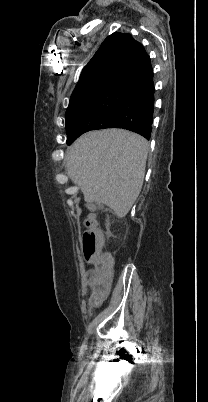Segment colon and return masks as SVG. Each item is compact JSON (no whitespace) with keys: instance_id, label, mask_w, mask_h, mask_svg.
I'll return each mask as SVG.
<instances>
[{"instance_id":"5ec220e1","label":"colon","mask_w":208,"mask_h":402,"mask_svg":"<svg viewBox=\"0 0 208 402\" xmlns=\"http://www.w3.org/2000/svg\"><path fill=\"white\" fill-rule=\"evenodd\" d=\"M91 220L85 221V226L89 227ZM84 243L82 250L83 255L87 258L88 265H96L98 276H95L96 271L93 268L88 269L87 274L90 277H97L95 282L92 283L91 288L96 291V299L88 300L89 308H100L103 295H111L112 287L109 286L111 272L113 270L114 257L109 256L108 250H102L105 242V234L103 232H94L92 229L90 232H83L81 235Z\"/></svg>"}]
</instances>
